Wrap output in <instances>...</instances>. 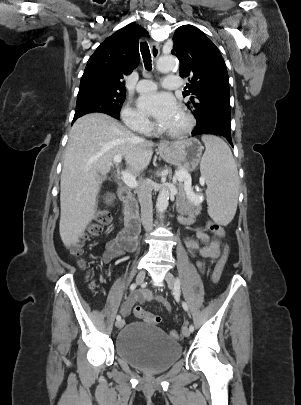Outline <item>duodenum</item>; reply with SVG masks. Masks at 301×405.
<instances>
[{"mask_svg":"<svg viewBox=\"0 0 301 405\" xmlns=\"http://www.w3.org/2000/svg\"><path fill=\"white\" fill-rule=\"evenodd\" d=\"M108 201L104 204L109 208H118L120 201L115 197L114 191L108 192ZM119 197L125 207L124 228L119 233L122 246L127 251H134L137 248V233L139 230V221L136 215L137 203L132 191L127 187L119 189Z\"/></svg>","mask_w":301,"mask_h":405,"instance_id":"obj_1","label":"duodenum"}]
</instances>
